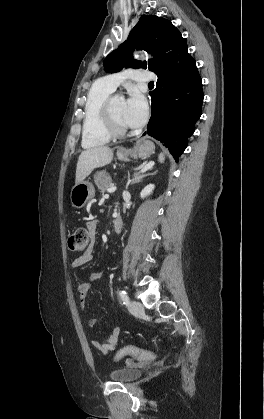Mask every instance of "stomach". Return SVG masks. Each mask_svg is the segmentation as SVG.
Returning <instances> with one entry per match:
<instances>
[{
  "label": "stomach",
  "mask_w": 264,
  "mask_h": 419,
  "mask_svg": "<svg viewBox=\"0 0 264 419\" xmlns=\"http://www.w3.org/2000/svg\"><path fill=\"white\" fill-rule=\"evenodd\" d=\"M155 146L149 140L139 141L135 147L126 154L117 153L120 160L127 161L129 156H139L147 158L154 153ZM95 196V188L91 182L82 181L75 184L70 192V201L74 208L84 207Z\"/></svg>",
  "instance_id": "0dacf381"
}]
</instances>
